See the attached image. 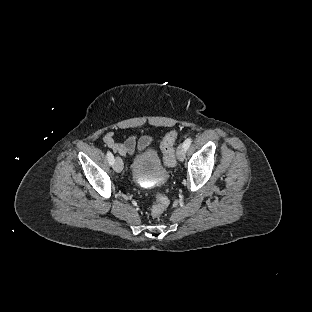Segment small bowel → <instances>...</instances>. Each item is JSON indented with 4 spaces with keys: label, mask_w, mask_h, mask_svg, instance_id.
Wrapping results in <instances>:
<instances>
[{
    "label": "small bowel",
    "mask_w": 312,
    "mask_h": 312,
    "mask_svg": "<svg viewBox=\"0 0 312 312\" xmlns=\"http://www.w3.org/2000/svg\"><path fill=\"white\" fill-rule=\"evenodd\" d=\"M104 142L115 153H119L124 157H130L136 152L147 148L152 143V139L149 136L137 137L133 135L127 138L124 143H116L114 140V133L108 132L104 136Z\"/></svg>",
    "instance_id": "obj_1"
}]
</instances>
